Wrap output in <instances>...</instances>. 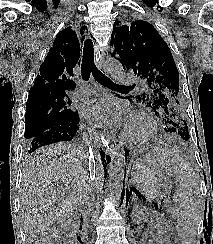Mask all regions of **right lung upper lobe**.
<instances>
[{
    "instance_id": "obj_1",
    "label": "right lung upper lobe",
    "mask_w": 213,
    "mask_h": 244,
    "mask_svg": "<svg viewBox=\"0 0 213 244\" xmlns=\"http://www.w3.org/2000/svg\"><path fill=\"white\" fill-rule=\"evenodd\" d=\"M80 43L76 33L69 27L60 31L50 48L47 57L40 66L34 86L28 97L42 95H67L75 90L72 80L73 69L80 65Z\"/></svg>"
}]
</instances>
